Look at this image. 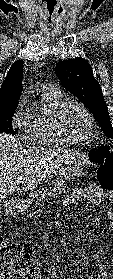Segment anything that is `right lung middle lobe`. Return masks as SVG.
<instances>
[{"label": "right lung middle lobe", "mask_w": 113, "mask_h": 279, "mask_svg": "<svg viewBox=\"0 0 113 279\" xmlns=\"http://www.w3.org/2000/svg\"><path fill=\"white\" fill-rule=\"evenodd\" d=\"M15 108H8L0 110V133H10L15 134L12 128V116L14 114Z\"/></svg>", "instance_id": "right-lung-middle-lobe-1"}]
</instances>
